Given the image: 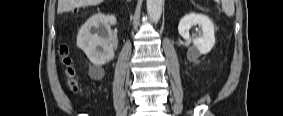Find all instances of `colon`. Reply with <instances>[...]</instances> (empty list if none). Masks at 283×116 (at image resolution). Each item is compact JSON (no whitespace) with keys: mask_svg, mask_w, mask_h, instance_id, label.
Here are the masks:
<instances>
[{"mask_svg":"<svg viewBox=\"0 0 283 116\" xmlns=\"http://www.w3.org/2000/svg\"><path fill=\"white\" fill-rule=\"evenodd\" d=\"M61 56L63 58V62L66 65V74L69 77V82H70V86L73 90H77V86H76V82L74 80V70L73 68L70 66V60L67 57V51H63L61 52Z\"/></svg>","mask_w":283,"mask_h":116,"instance_id":"obj_1","label":"colon"}]
</instances>
